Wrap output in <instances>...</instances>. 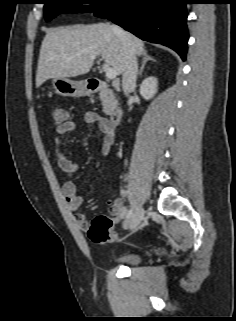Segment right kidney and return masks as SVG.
Instances as JSON below:
<instances>
[{"label": "right kidney", "mask_w": 236, "mask_h": 321, "mask_svg": "<svg viewBox=\"0 0 236 321\" xmlns=\"http://www.w3.org/2000/svg\"><path fill=\"white\" fill-rule=\"evenodd\" d=\"M157 78L150 76L145 78L140 85V95L145 100H150L157 93Z\"/></svg>", "instance_id": "ca27d5eb"}]
</instances>
